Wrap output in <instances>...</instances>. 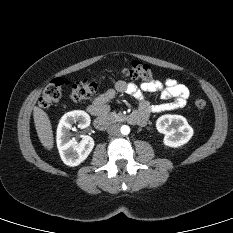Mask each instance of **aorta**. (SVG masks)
<instances>
[{"instance_id": "obj_1", "label": "aorta", "mask_w": 233, "mask_h": 233, "mask_svg": "<svg viewBox=\"0 0 233 233\" xmlns=\"http://www.w3.org/2000/svg\"><path fill=\"white\" fill-rule=\"evenodd\" d=\"M120 131L123 135H128L130 133V127L128 125H123L121 126Z\"/></svg>"}]
</instances>
